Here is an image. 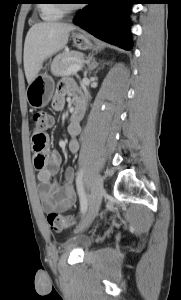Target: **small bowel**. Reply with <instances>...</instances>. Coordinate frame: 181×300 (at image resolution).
Returning a JSON list of instances; mask_svg holds the SVG:
<instances>
[{"label": "small bowel", "instance_id": "obj_1", "mask_svg": "<svg viewBox=\"0 0 181 300\" xmlns=\"http://www.w3.org/2000/svg\"><path fill=\"white\" fill-rule=\"evenodd\" d=\"M71 94L76 101L84 100L82 96L74 89L70 81H61L58 84L55 96L52 100V108L56 111L63 109L65 105V95ZM81 118L77 122H70L68 133L70 140L68 142L69 150L76 153L79 148L78 135L81 130ZM44 163L37 167L34 157V165L38 170L39 195L45 212L66 211L72 207L75 202L74 179L75 171L73 168H67L64 172V181L59 183L55 180L61 166V157L55 152H43Z\"/></svg>", "mask_w": 181, "mask_h": 300}]
</instances>
